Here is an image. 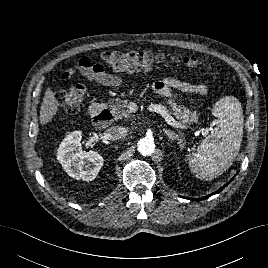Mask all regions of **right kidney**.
<instances>
[{
  "mask_svg": "<svg viewBox=\"0 0 268 268\" xmlns=\"http://www.w3.org/2000/svg\"><path fill=\"white\" fill-rule=\"evenodd\" d=\"M81 139V131L68 134L58 148L57 159L70 177L91 181L103 166V158L95 151H82Z\"/></svg>",
  "mask_w": 268,
  "mask_h": 268,
  "instance_id": "1",
  "label": "right kidney"
}]
</instances>
